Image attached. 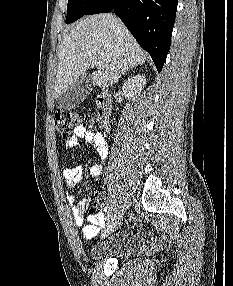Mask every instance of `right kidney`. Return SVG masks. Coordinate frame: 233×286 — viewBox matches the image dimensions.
<instances>
[{"instance_id":"ca27d5eb","label":"right kidney","mask_w":233,"mask_h":286,"mask_svg":"<svg viewBox=\"0 0 233 286\" xmlns=\"http://www.w3.org/2000/svg\"><path fill=\"white\" fill-rule=\"evenodd\" d=\"M146 84V78L144 75H136L128 79L123 85V93L126 98H131L135 93H141L144 85Z\"/></svg>"}]
</instances>
